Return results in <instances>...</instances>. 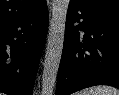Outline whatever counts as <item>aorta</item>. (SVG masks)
<instances>
[{
	"instance_id": "obj_1",
	"label": "aorta",
	"mask_w": 119,
	"mask_h": 95,
	"mask_svg": "<svg viewBox=\"0 0 119 95\" xmlns=\"http://www.w3.org/2000/svg\"><path fill=\"white\" fill-rule=\"evenodd\" d=\"M68 5L69 0L52 1V19L42 74V95H53L64 44Z\"/></svg>"
}]
</instances>
